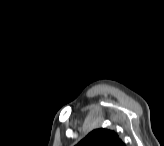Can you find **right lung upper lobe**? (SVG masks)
<instances>
[{"label": "right lung upper lobe", "instance_id": "1", "mask_svg": "<svg viewBox=\"0 0 164 146\" xmlns=\"http://www.w3.org/2000/svg\"><path fill=\"white\" fill-rule=\"evenodd\" d=\"M78 146H124V143L114 131L102 128L93 130Z\"/></svg>", "mask_w": 164, "mask_h": 146}]
</instances>
